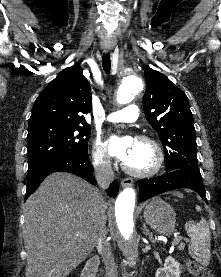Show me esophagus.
Wrapping results in <instances>:
<instances>
[{
	"mask_svg": "<svg viewBox=\"0 0 221 277\" xmlns=\"http://www.w3.org/2000/svg\"><path fill=\"white\" fill-rule=\"evenodd\" d=\"M132 183H133V180L131 178H126V179L121 180L122 187L130 186V185H132Z\"/></svg>",
	"mask_w": 221,
	"mask_h": 277,
	"instance_id": "34e87169",
	"label": "esophagus"
}]
</instances>
